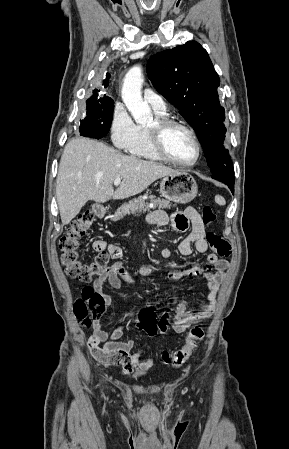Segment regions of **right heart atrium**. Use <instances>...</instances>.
Listing matches in <instances>:
<instances>
[{
  "label": "right heart atrium",
  "instance_id": "1",
  "mask_svg": "<svg viewBox=\"0 0 289 449\" xmlns=\"http://www.w3.org/2000/svg\"><path fill=\"white\" fill-rule=\"evenodd\" d=\"M110 132L114 145L130 152L140 139V127L122 104H117L113 110Z\"/></svg>",
  "mask_w": 289,
  "mask_h": 449
}]
</instances>
